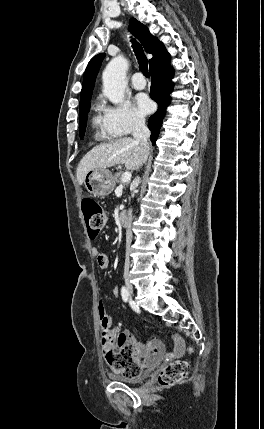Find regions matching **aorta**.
<instances>
[{"label":"aorta","instance_id":"762f6f07","mask_svg":"<svg viewBox=\"0 0 264 429\" xmlns=\"http://www.w3.org/2000/svg\"><path fill=\"white\" fill-rule=\"evenodd\" d=\"M127 66V60L123 56H117L103 72V94L114 104H121L124 100Z\"/></svg>","mask_w":264,"mask_h":429}]
</instances>
